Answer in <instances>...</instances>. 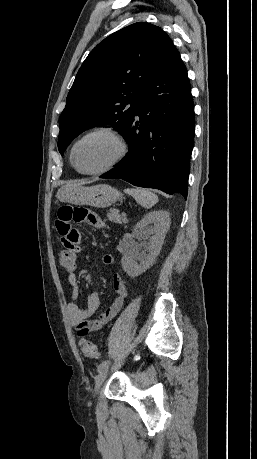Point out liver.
<instances>
[{"mask_svg": "<svg viewBox=\"0 0 257 459\" xmlns=\"http://www.w3.org/2000/svg\"><path fill=\"white\" fill-rule=\"evenodd\" d=\"M91 181H82L80 183H74V184H68L64 187H71V186H77V185H83V184H86V183H90Z\"/></svg>", "mask_w": 257, "mask_h": 459, "instance_id": "1", "label": "liver"}]
</instances>
